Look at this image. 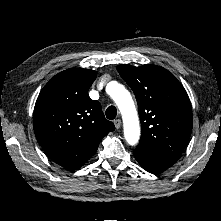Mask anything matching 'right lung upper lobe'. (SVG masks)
Segmentation results:
<instances>
[{"label":"right lung upper lobe","mask_w":221,"mask_h":221,"mask_svg":"<svg viewBox=\"0 0 221 221\" xmlns=\"http://www.w3.org/2000/svg\"><path fill=\"white\" fill-rule=\"evenodd\" d=\"M97 72L71 68L55 75L41 90L34 108L36 138L46 154L68 169L83 166L109 132L101 105L88 90Z\"/></svg>","instance_id":"obj_1"}]
</instances>
